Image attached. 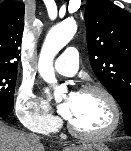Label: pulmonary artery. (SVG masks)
<instances>
[{
	"label": "pulmonary artery",
	"instance_id": "e3ab8cb5",
	"mask_svg": "<svg viewBox=\"0 0 131 151\" xmlns=\"http://www.w3.org/2000/svg\"><path fill=\"white\" fill-rule=\"evenodd\" d=\"M55 70L65 76H72L78 70V51L75 47H68L54 63Z\"/></svg>",
	"mask_w": 131,
	"mask_h": 151
}]
</instances>
